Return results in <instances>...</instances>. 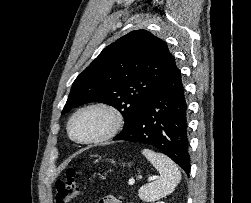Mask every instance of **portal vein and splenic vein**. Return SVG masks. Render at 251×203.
I'll return each mask as SVG.
<instances>
[{
    "label": "portal vein and splenic vein",
    "instance_id": "1",
    "mask_svg": "<svg viewBox=\"0 0 251 203\" xmlns=\"http://www.w3.org/2000/svg\"><path fill=\"white\" fill-rule=\"evenodd\" d=\"M134 183H135V180H134V179H130V180H129V184H130V185H134Z\"/></svg>",
    "mask_w": 251,
    "mask_h": 203
}]
</instances>
